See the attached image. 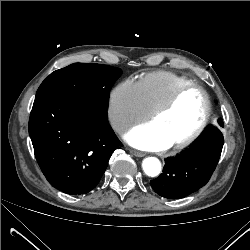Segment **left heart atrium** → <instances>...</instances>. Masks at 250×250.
Wrapping results in <instances>:
<instances>
[{"label": "left heart atrium", "instance_id": "left-heart-atrium-1", "mask_svg": "<svg viewBox=\"0 0 250 250\" xmlns=\"http://www.w3.org/2000/svg\"><path fill=\"white\" fill-rule=\"evenodd\" d=\"M126 141L143 150L160 151L172 145L153 123L133 128L125 136Z\"/></svg>", "mask_w": 250, "mask_h": 250}]
</instances>
